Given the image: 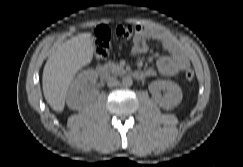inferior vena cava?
Masks as SVG:
<instances>
[{"label": "inferior vena cava", "mask_w": 243, "mask_h": 167, "mask_svg": "<svg viewBox=\"0 0 243 167\" xmlns=\"http://www.w3.org/2000/svg\"><path fill=\"white\" fill-rule=\"evenodd\" d=\"M118 84H119V81H118V79L115 78V77H110V78L108 79V81H107V85H108L109 87L117 86Z\"/></svg>", "instance_id": "602c4592"}]
</instances>
